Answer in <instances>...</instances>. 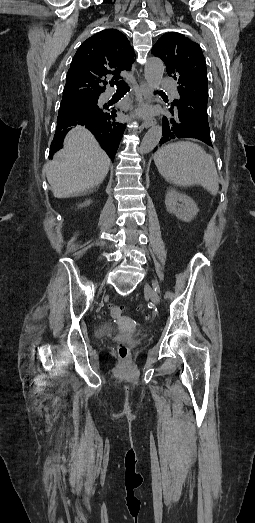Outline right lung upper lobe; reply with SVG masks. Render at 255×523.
<instances>
[{"label":"right lung upper lobe","instance_id":"1","mask_svg":"<svg viewBox=\"0 0 255 523\" xmlns=\"http://www.w3.org/2000/svg\"><path fill=\"white\" fill-rule=\"evenodd\" d=\"M134 57L133 48L126 36L115 29L103 30L82 43L66 76L49 158L63 147L64 137L69 131L67 128L83 124L114 160L126 125L120 121L122 111L117 105L103 104L98 99L105 92L108 83L114 86L115 82L122 79L121 71L131 69ZM83 99L88 101L86 106L81 104ZM83 107L90 112L97 110L99 117L81 119L79 110Z\"/></svg>","mask_w":255,"mask_h":523}]
</instances>
